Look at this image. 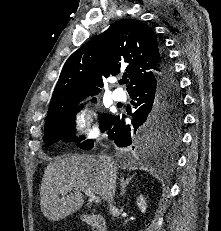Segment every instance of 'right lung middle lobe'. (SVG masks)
<instances>
[{"label": "right lung middle lobe", "instance_id": "right-lung-middle-lobe-1", "mask_svg": "<svg viewBox=\"0 0 221 231\" xmlns=\"http://www.w3.org/2000/svg\"><path fill=\"white\" fill-rule=\"evenodd\" d=\"M83 98L84 97L73 98L58 108L54 113L47 116L44 135L46 144L52 145L59 140L80 142L84 139V136L78 138L73 135V130L75 129L74 116L83 107V105L77 107ZM93 100L95 101L96 99L94 98ZM111 117V115L101 116L100 129L102 132ZM181 122V101L173 99L168 95H161L142 130L147 139L165 146L177 139ZM81 144L82 143L78 144V146Z\"/></svg>", "mask_w": 221, "mask_h": 231}]
</instances>
